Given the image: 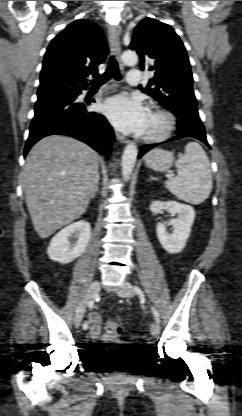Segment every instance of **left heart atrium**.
I'll list each match as a JSON object with an SVG mask.
<instances>
[{
  "label": "left heart atrium",
  "mask_w": 242,
  "mask_h": 416,
  "mask_svg": "<svg viewBox=\"0 0 242 416\" xmlns=\"http://www.w3.org/2000/svg\"><path fill=\"white\" fill-rule=\"evenodd\" d=\"M103 113L118 130L143 134L149 110L139 98L122 93L105 102Z\"/></svg>",
  "instance_id": "39dd6f15"
}]
</instances>
